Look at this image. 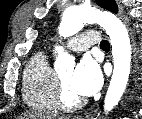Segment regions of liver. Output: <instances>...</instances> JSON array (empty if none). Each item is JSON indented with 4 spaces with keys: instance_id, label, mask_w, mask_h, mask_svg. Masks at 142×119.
<instances>
[{
    "instance_id": "6515ba94",
    "label": "liver",
    "mask_w": 142,
    "mask_h": 119,
    "mask_svg": "<svg viewBox=\"0 0 142 119\" xmlns=\"http://www.w3.org/2000/svg\"><path fill=\"white\" fill-rule=\"evenodd\" d=\"M68 119L66 116H57L53 114H42V113H37V114H28L24 115L22 119Z\"/></svg>"
}]
</instances>
